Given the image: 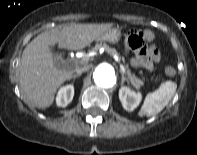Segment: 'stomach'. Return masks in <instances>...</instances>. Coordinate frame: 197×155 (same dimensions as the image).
Returning a JSON list of instances; mask_svg holds the SVG:
<instances>
[{"label":"stomach","instance_id":"1","mask_svg":"<svg viewBox=\"0 0 197 155\" xmlns=\"http://www.w3.org/2000/svg\"><path fill=\"white\" fill-rule=\"evenodd\" d=\"M121 30L119 28H109L97 37V41H106L110 43H117L121 38Z\"/></svg>","mask_w":197,"mask_h":155}]
</instances>
